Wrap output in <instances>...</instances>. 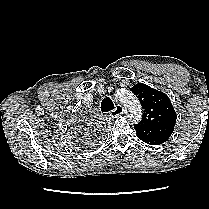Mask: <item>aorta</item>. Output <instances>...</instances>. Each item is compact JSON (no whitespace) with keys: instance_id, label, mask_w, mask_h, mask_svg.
Here are the masks:
<instances>
[{"instance_id":"762f6f07","label":"aorta","mask_w":209,"mask_h":209,"mask_svg":"<svg viewBox=\"0 0 209 209\" xmlns=\"http://www.w3.org/2000/svg\"><path fill=\"white\" fill-rule=\"evenodd\" d=\"M115 98L123 104L128 120L133 122L141 120V104L130 91L119 90L115 93Z\"/></svg>"}]
</instances>
